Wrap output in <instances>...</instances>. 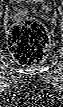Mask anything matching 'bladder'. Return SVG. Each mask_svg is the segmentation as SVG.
I'll return each mask as SVG.
<instances>
[{
	"instance_id": "bladder-1",
	"label": "bladder",
	"mask_w": 63,
	"mask_h": 107,
	"mask_svg": "<svg viewBox=\"0 0 63 107\" xmlns=\"http://www.w3.org/2000/svg\"><path fill=\"white\" fill-rule=\"evenodd\" d=\"M17 2H33V3H36L38 2L39 0H16Z\"/></svg>"
}]
</instances>
